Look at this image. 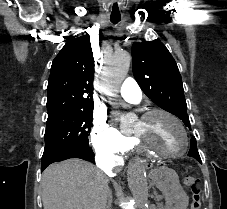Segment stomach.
Wrapping results in <instances>:
<instances>
[{
    "label": "stomach",
    "mask_w": 227,
    "mask_h": 209,
    "mask_svg": "<svg viewBox=\"0 0 227 209\" xmlns=\"http://www.w3.org/2000/svg\"><path fill=\"white\" fill-rule=\"evenodd\" d=\"M154 185L165 196L166 209H187L189 198L179 183L178 174L168 167L162 166L153 171Z\"/></svg>",
    "instance_id": "1"
}]
</instances>
